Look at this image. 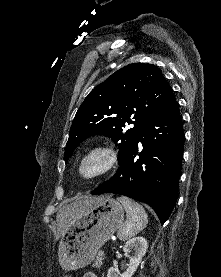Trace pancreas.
Masks as SVG:
<instances>
[{
    "instance_id": "1",
    "label": "pancreas",
    "mask_w": 221,
    "mask_h": 277,
    "mask_svg": "<svg viewBox=\"0 0 221 277\" xmlns=\"http://www.w3.org/2000/svg\"><path fill=\"white\" fill-rule=\"evenodd\" d=\"M103 259H104V254H101L99 251L97 258L92 265L93 268L99 269L103 265Z\"/></svg>"
}]
</instances>
